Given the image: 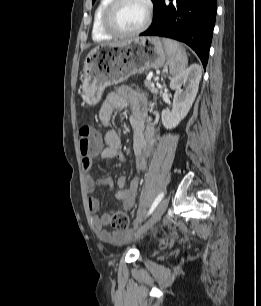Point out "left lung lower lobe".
I'll return each instance as SVG.
<instances>
[{"instance_id":"obj_1","label":"left lung lower lobe","mask_w":261,"mask_h":306,"mask_svg":"<svg viewBox=\"0 0 261 306\" xmlns=\"http://www.w3.org/2000/svg\"><path fill=\"white\" fill-rule=\"evenodd\" d=\"M154 0V20L140 36H163L189 45L204 68L208 62L217 0Z\"/></svg>"}]
</instances>
